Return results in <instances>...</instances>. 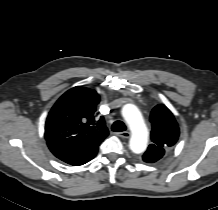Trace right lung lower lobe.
Masks as SVG:
<instances>
[{"label":"right lung lower lobe","mask_w":218,"mask_h":210,"mask_svg":"<svg viewBox=\"0 0 218 210\" xmlns=\"http://www.w3.org/2000/svg\"><path fill=\"white\" fill-rule=\"evenodd\" d=\"M47 144L58 159L74 166L87 163L96 156L98 151V148L81 149L57 142H47Z\"/></svg>","instance_id":"98d812e1"}]
</instances>
